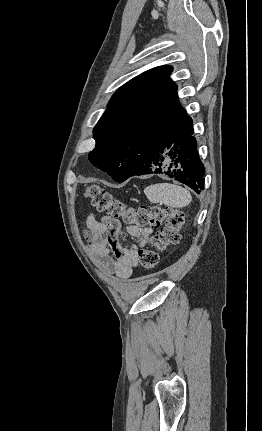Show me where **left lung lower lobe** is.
I'll return each instance as SVG.
<instances>
[{"label": "left lung lower lobe", "instance_id": "obj_1", "mask_svg": "<svg viewBox=\"0 0 262 431\" xmlns=\"http://www.w3.org/2000/svg\"><path fill=\"white\" fill-rule=\"evenodd\" d=\"M192 134V124L181 127L163 139L151 152L138 155L130 176L165 174L197 193L201 192L204 188L205 170Z\"/></svg>", "mask_w": 262, "mask_h": 431}]
</instances>
